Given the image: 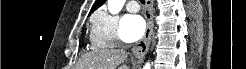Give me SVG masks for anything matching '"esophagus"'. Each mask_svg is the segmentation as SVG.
Segmentation results:
<instances>
[{
	"instance_id": "34e87169",
	"label": "esophagus",
	"mask_w": 246,
	"mask_h": 69,
	"mask_svg": "<svg viewBox=\"0 0 246 69\" xmlns=\"http://www.w3.org/2000/svg\"><path fill=\"white\" fill-rule=\"evenodd\" d=\"M146 6L148 8V12L146 14L147 29L142 42L140 41L132 48V52L135 58H143L147 53L151 42V35L153 30V0H146Z\"/></svg>"
}]
</instances>
